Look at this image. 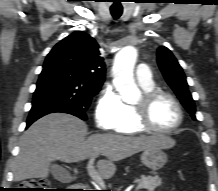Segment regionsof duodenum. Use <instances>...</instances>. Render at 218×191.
I'll list each match as a JSON object with an SVG mask.
<instances>
[{
	"label": "duodenum",
	"mask_w": 218,
	"mask_h": 191,
	"mask_svg": "<svg viewBox=\"0 0 218 191\" xmlns=\"http://www.w3.org/2000/svg\"><path fill=\"white\" fill-rule=\"evenodd\" d=\"M85 184L83 182H78L74 185V188L71 191H84Z\"/></svg>",
	"instance_id": "1"
}]
</instances>
